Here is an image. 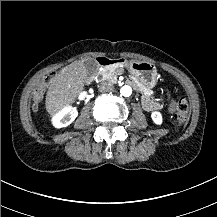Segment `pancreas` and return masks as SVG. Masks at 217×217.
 Wrapping results in <instances>:
<instances>
[{
  "instance_id": "pancreas-1",
  "label": "pancreas",
  "mask_w": 217,
  "mask_h": 217,
  "mask_svg": "<svg viewBox=\"0 0 217 217\" xmlns=\"http://www.w3.org/2000/svg\"><path fill=\"white\" fill-rule=\"evenodd\" d=\"M123 73V69L121 68H112L110 70H103L102 75L103 78L110 80L112 83L117 82V76ZM139 87H141V91L144 94L153 95V89H148L143 83H141L136 77L132 79Z\"/></svg>"
}]
</instances>
